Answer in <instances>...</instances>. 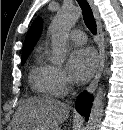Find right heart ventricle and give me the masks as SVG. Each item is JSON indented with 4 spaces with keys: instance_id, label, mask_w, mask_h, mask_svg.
<instances>
[{
    "instance_id": "1",
    "label": "right heart ventricle",
    "mask_w": 123,
    "mask_h": 130,
    "mask_svg": "<svg viewBox=\"0 0 123 130\" xmlns=\"http://www.w3.org/2000/svg\"><path fill=\"white\" fill-rule=\"evenodd\" d=\"M30 79L37 93L43 96H56L54 85V67L50 65L42 52L34 56Z\"/></svg>"
}]
</instances>
